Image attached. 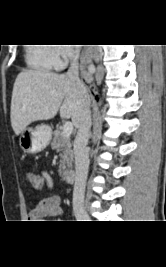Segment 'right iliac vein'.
<instances>
[{"instance_id":"obj_1","label":"right iliac vein","mask_w":166,"mask_h":267,"mask_svg":"<svg viewBox=\"0 0 166 267\" xmlns=\"http://www.w3.org/2000/svg\"><path fill=\"white\" fill-rule=\"evenodd\" d=\"M75 215H76V218L77 219H83V220H88V216H87V214L84 212V211H77L76 213H75Z\"/></svg>"}]
</instances>
